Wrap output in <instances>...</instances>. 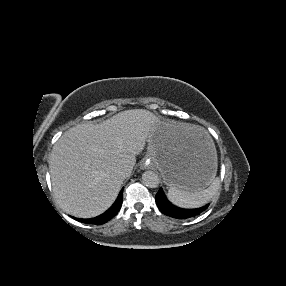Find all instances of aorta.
<instances>
[{"label": "aorta", "mask_w": 286, "mask_h": 286, "mask_svg": "<svg viewBox=\"0 0 286 286\" xmlns=\"http://www.w3.org/2000/svg\"><path fill=\"white\" fill-rule=\"evenodd\" d=\"M142 181L144 185H146L149 188H157L160 183L158 175L153 171H145L142 174Z\"/></svg>", "instance_id": "obj_1"}]
</instances>
